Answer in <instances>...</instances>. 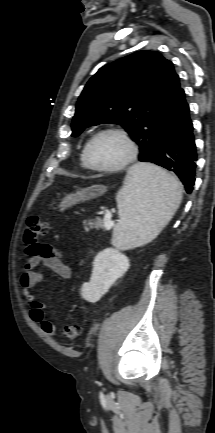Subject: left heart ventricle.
<instances>
[{"label":"left heart ventricle","mask_w":215,"mask_h":433,"mask_svg":"<svg viewBox=\"0 0 215 433\" xmlns=\"http://www.w3.org/2000/svg\"><path fill=\"white\" fill-rule=\"evenodd\" d=\"M127 153V145L120 136L105 134L94 141L89 151V157L96 166L111 167L121 163L126 158Z\"/></svg>","instance_id":"b2bd125f"}]
</instances>
